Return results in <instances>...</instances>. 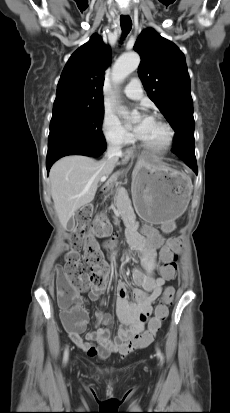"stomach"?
<instances>
[{"mask_svg": "<svg viewBox=\"0 0 230 413\" xmlns=\"http://www.w3.org/2000/svg\"><path fill=\"white\" fill-rule=\"evenodd\" d=\"M134 208L151 224L171 222L186 210L192 183L185 173L172 169L152 156L141 158L132 173Z\"/></svg>", "mask_w": 230, "mask_h": 413, "instance_id": "obj_1", "label": "stomach"}]
</instances>
